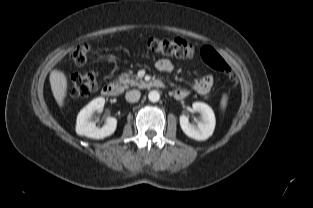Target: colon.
<instances>
[{"label": "colon", "mask_w": 313, "mask_h": 208, "mask_svg": "<svg viewBox=\"0 0 313 208\" xmlns=\"http://www.w3.org/2000/svg\"><path fill=\"white\" fill-rule=\"evenodd\" d=\"M147 47L155 54L164 56H175L177 58H191L194 56V48L182 39H158L150 38ZM90 46L86 43L77 45L70 53V57L77 65H83L88 60ZM202 59L212 69L224 73L228 79L232 80L234 74L228 63L210 46H205L200 51ZM97 72L94 70L74 75L68 87L70 98L88 97L93 94L98 87Z\"/></svg>", "instance_id": "colon-1"}]
</instances>
